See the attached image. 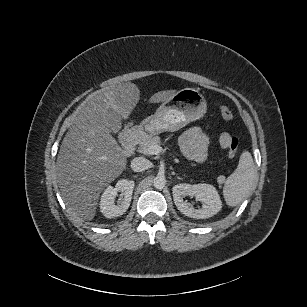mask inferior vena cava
Segmentation results:
<instances>
[{"label":"inferior vena cava","mask_w":307,"mask_h":307,"mask_svg":"<svg viewBox=\"0 0 307 307\" xmlns=\"http://www.w3.org/2000/svg\"><path fill=\"white\" fill-rule=\"evenodd\" d=\"M150 166V161L144 157H136L131 161V168L134 171H143Z\"/></svg>","instance_id":"1"}]
</instances>
